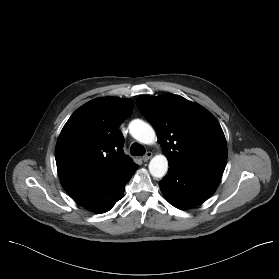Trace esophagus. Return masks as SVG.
<instances>
[{"label": "esophagus", "instance_id": "esophagus-1", "mask_svg": "<svg viewBox=\"0 0 279 279\" xmlns=\"http://www.w3.org/2000/svg\"><path fill=\"white\" fill-rule=\"evenodd\" d=\"M152 156H153V153L150 152V151H148V152L142 157V159H143L144 162H147L149 159L152 158Z\"/></svg>", "mask_w": 279, "mask_h": 279}]
</instances>
